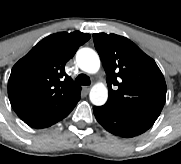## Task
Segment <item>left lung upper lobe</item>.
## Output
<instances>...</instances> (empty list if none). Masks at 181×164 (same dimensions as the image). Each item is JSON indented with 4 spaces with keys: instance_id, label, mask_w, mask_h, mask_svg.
<instances>
[{
    "instance_id": "1",
    "label": "left lung upper lobe",
    "mask_w": 181,
    "mask_h": 164,
    "mask_svg": "<svg viewBox=\"0 0 181 164\" xmlns=\"http://www.w3.org/2000/svg\"><path fill=\"white\" fill-rule=\"evenodd\" d=\"M104 63L108 101L156 120L166 99V83L155 61L126 37L93 34Z\"/></svg>"
}]
</instances>
